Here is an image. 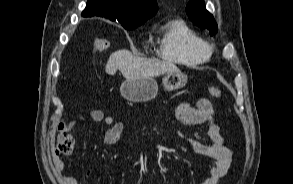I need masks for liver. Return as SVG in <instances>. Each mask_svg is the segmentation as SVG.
<instances>
[{
    "mask_svg": "<svg viewBox=\"0 0 293 184\" xmlns=\"http://www.w3.org/2000/svg\"><path fill=\"white\" fill-rule=\"evenodd\" d=\"M121 71L123 77H154L168 72H179V68L168 61L159 59H147L134 56L130 51L122 49L112 53L107 61L105 71L114 75Z\"/></svg>",
    "mask_w": 293,
    "mask_h": 184,
    "instance_id": "liver-1",
    "label": "liver"
}]
</instances>
